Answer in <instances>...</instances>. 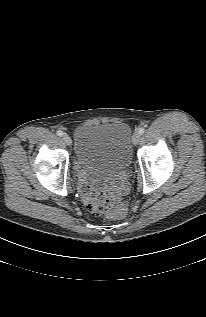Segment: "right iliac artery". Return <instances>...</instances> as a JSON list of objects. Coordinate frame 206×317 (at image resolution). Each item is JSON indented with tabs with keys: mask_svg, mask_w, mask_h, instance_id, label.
I'll list each match as a JSON object with an SVG mask.
<instances>
[{
	"mask_svg": "<svg viewBox=\"0 0 206 317\" xmlns=\"http://www.w3.org/2000/svg\"><path fill=\"white\" fill-rule=\"evenodd\" d=\"M56 134H57L58 136H62V135H63V132L60 131V130H58V131L56 132Z\"/></svg>",
	"mask_w": 206,
	"mask_h": 317,
	"instance_id": "obj_1",
	"label": "right iliac artery"
}]
</instances>
